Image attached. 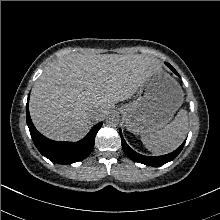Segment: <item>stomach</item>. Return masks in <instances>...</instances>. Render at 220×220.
<instances>
[{
  "instance_id": "0dacf381",
  "label": "stomach",
  "mask_w": 220,
  "mask_h": 220,
  "mask_svg": "<svg viewBox=\"0 0 220 220\" xmlns=\"http://www.w3.org/2000/svg\"><path fill=\"white\" fill-rule=\"evenodd\" d=\"M183 100L179 83L160 68L142 82L138 98L121 107L122 118L133 134L157 132L169 123Z\"/></svg>"
}]
</instances>
